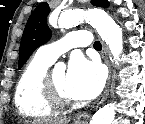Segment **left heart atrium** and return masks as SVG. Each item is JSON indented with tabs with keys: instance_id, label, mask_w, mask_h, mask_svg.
<instances>
[{
	"instance_id": "39dd6f15",
	"label": "left heart atrium",
	"mask_w": 145,
	"mask_h": 124,
	"mask_svg": "<svg viewBox=\"0 0 145 124\" xmlns=\"http://www.w3.org/2000/svg\"><path fill=\"white\" fill-rule=\"evenodd\" d=\"M66 84L72 98L88 100L96 97L102 90L104 75L97 62L74 56L69 63Z\"/></svg>"
}]
</instances>
